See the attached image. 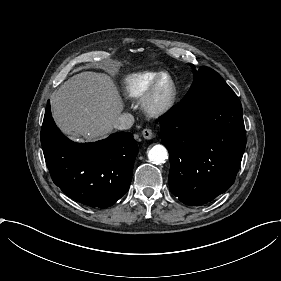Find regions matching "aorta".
I'll use <instances>...</instances> for the list:
<instances>
[{
	"label": "aorta",
	"mask_w": 281,
	"mask_h": 281,
	"mask_svg": "<svg viewBox=\"0 0 281 281\" xmlns=\"http://www.w3.org/2000/svg\"><path fill=\"white\" fill-rule=\"evenodd\" d=\"M148 159L154 164H163L168 159L167 149L160 144L153 146L148 151Z\"/></svg>",
	"instance_id": "762f6f07"
}]
</instances>
